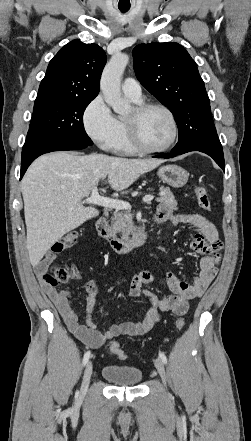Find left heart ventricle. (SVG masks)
<instances>
[{"label": "left heart ventricle", "instance_id": "b2bd125f", "mask_svg": "<svg viewBox=\"0 0 251 441\" xmlns=\"http://www.w3.org/2000/svg\"><path fill=\"white\" fill-rule=\"evenodd\" d=\"M132 110L127 118L132 117ZM139 132L144 143L150 147H162L172 137L173 128L167 114L159 109L147 111L138 121Z\"/></svg>", "mask_w": 251, "mask_h": 441}]
</instances>
